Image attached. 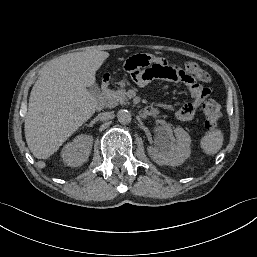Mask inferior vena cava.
I'll list each match as a JSON object with an SVG mask.
<instances>
[{"mask_svg": "<svg viewBox=\"0 0 257 257\" xmlns=\"http://www.w3.org/2000/svg\"><path fill=\"white\" fill-rule=\"evenodd\" d=\"M111 116V112H102L98 114L97 119L98 120H106Z\"/></svg>", "mask_w": 257, "mask_h": 257, "instance_id": "obj_1", "label": "inferior vena cava"}]
</instances>
